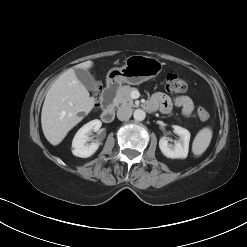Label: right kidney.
Instances as JSON below:
<instances>
[{"label":"right kidney","mask_w":247,"mask_h":247,"mask_svg":"<svg viewBox=\"0 0 247 247\" xmlns=\"http://www.w3.org/2000/svg\"><path fill=\"white\" fill-rule=\"evenodd\" d=\"M101 126L102 122L98 119H95L88 122L78 130L72 141L73 155L81 158H87L92 156L98 150V143H89V135L92 133V131L98 132Z\"/></svg>","instance_id":"1"}]
</instances>
